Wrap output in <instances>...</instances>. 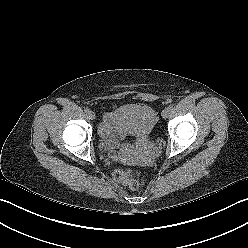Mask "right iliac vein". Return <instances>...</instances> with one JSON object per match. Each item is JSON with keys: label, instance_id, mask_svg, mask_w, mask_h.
Instances as JSON below:
<instances>
[{"label": "right iliac vein", "instance_id": "obj_1", "mask_svg": "<svg viewBox=\"0 0 248 248\" xmlns=\"http://www.w3.org/2000/svg\"><path fill=\"white\" fill-rule=\"evenodd\" d=\"M88 117H89L91 120H94V119L96 118V115H95V113H94L93 111H90V112L88 113Z\"/></svg>", "mask_w": 248, "mask_h": 248}]
</instances>
